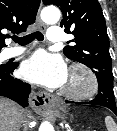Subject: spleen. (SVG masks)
<instances>
[{"instance_id":"3e777b00","label":"spleen","mask_w":117,"mask_h":131,"mask_svg":"<svg viewBox=\"0 0 117 131\" xmlns=\"http://www.w3.org/2000/svg\"><path fill=\"white\" fill-rule=\"evenodd\" d=\"M105 124L108 131H117V126L111 116H106Z\"/></svg>"}]
</instances>
